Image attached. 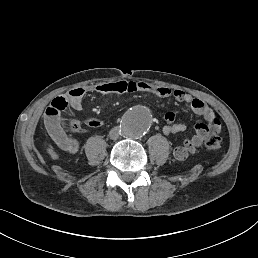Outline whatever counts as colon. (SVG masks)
<instances>
[{
  "label": "colon",
  "mask_w": 258,
  "mask_h": 258,
  "mask_svg": "<svg viewBox=\"0 0 258 258\" xmlns=\"http://www.w3.org/2000/svg\"><path fill=\"white\" fill-rule=\"evenodd\" d=\"M73 127H77V123L74 122ZM205 146L209 150L219 151L221 149V138L217 133L211 132L207 135L205 139Z\"/></svg>",
  "instance_id": "5ec220e1"
}]
</instances>
